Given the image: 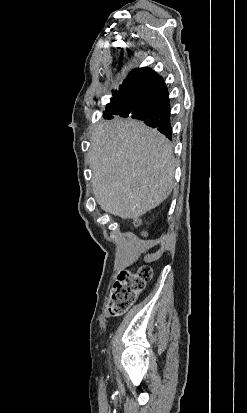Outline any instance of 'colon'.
Instances as JSON below:
<instances>
[{"instance_id": "obj_1", "label": "colon", "mask_w": 247, "mask_h": 413, "mask_svg": "<svg viewBox=\"0 0 247 413\" xmlns=\"http://www.w3.org/2000/svg\"><path fill=\"white\" fill-rule=\"evenodd\" d=\"M152 276L153 269L149 265L123 271L119 280L113 283L110 314L122 315L127 312L134 305L137 296L145 290Z\"/></svg>"}]
</instances>
